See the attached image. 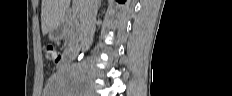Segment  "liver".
<instances>
[{"instance_id": "liver-1", "label": "liver", "mask_w": 232, "mask_h": 96, "mask_svg": "<svg viewBox=\"0 0 232 96\" xmlns=\"http://www.w3.org/2000/svg\"><path fill=\"white\" fill-rule=\"evenodd\" d=\"M69 4L70 0H42L41 27L44 35L59 27ZM78 5L81 6V0H78Z\"/></svg>"}]
</instances>
